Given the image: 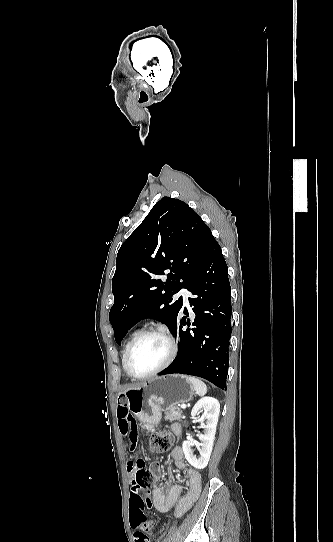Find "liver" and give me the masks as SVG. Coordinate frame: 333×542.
I'll list each match as a JSON object with an SVG mask.
<instances>
[{
  "mask_svg": "<svg viewBox=\"0 0 333 542\" xmlns=\"http://www.w3.org/2000/svg\"><path fill=\"white\" fill-rule=\"evenodd\" d=\"M128 390H137V388H127V390H125V392H128ZM125 392H120V394H125Z\"/></svg>",
  "mask_w": 333,
  "mask_h": 542,
  "instance_id": "6515ba94",
  "label": "liver"
}]
</instances>
